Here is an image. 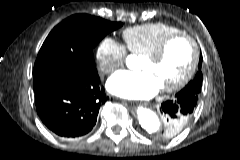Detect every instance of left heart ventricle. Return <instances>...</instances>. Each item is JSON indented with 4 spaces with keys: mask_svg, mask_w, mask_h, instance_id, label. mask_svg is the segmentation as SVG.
I'll return each mask as SVG.
<instances>
[{
    "mask_svg": "<svg viewBox=\"0 0 240 160\" xmlns=\"http://www.w3.org/2000/svg\"><path fill=\"white\" fill-rule=\"evenodd\" d=\"M192 59L189 43L183 39L173 41L159 61L142 59L139 69L150 72L160 87L175 84L188 70Z\"/></svg>",
    "mask_w": 240,
    "mask_h": 160,
    "instance_id": "obj_1",
    "label": "left heart ventricle"
}]
</instances>
